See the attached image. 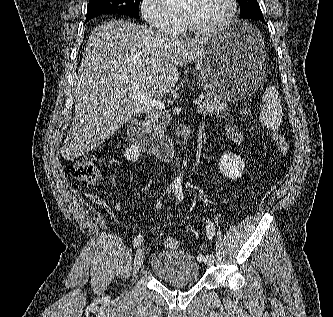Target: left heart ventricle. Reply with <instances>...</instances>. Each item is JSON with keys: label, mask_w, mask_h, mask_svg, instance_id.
Returning a JSON list of instances; mask_svg holds the SVG:
<instances>
[{"label": "left heart ventricle", "mask_w": 333, "mask_h": 317, "mask_svg": "<svg viewBox=\"0 0 333 317\" xmlns=\"http://www.w3.org/2000/svg\"><path fill=\"white\" fill-rule=\"evenodd\" d=\"M227 0H183L178 13L200 28L219 23L227 14Z\"/></svg>", "instance_id": "obj_1"}]
</instances>
